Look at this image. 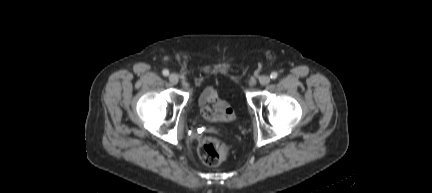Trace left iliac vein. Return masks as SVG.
I'll list each match as a JSON object with an SVG mask.
<instances>
[{"label": "left iliac vein", "mask_w": 432, "mask_h": 193, "mask_svg": "<svg viewBox=\"0 0 432 193\" xmlns=\"http://www.w3.org/2000/svg\"><path fill=\"white\" fill-rule=\"evenodd\" d=\"M259 81H260V84H261V85H267V84L270 83V77L264 75V76H262V77L260 78Z\"/></svg>", "instance_id": "4c4485c4"}]
</instances>
